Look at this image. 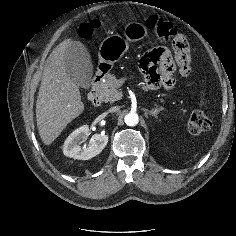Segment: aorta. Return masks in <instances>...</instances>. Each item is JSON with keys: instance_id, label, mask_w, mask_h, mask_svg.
Instances as JSON below:
<instances>
[{"instance_id": "1", "label": "aorta", "mask_w": 236, "mask_h": 236, "mask_svg": "<svg viewBox=\"0 0 236 236\" xmlns=\"http://www.w3.org/2000/svg\"><path fill=\"white\" fill-rule=\"evenodd\" d=\"M124 121L128 126H136L139 122L138 114L135 112H130L125 116Z\"/></svg>"}]
</instances>
